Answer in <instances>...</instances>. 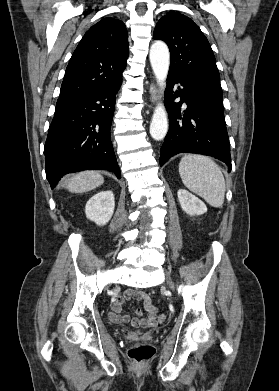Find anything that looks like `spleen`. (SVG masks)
I'll return each mask as SVG.
<instances>
[{"label":"spleen","mask_w":279,"mask_h":391,"mask_svg":"<svg viewBox=\"0 0 279 391\" xmlns=\"http://www.w3.org/2000/svg\"><path fill=\"white\" fill-rule=\"evenodd\" d=\"M179 174L184 185L212 207L223 205L225 179L213 160L198 154L185 155L179 163Z\"/></svg>","instance_id":"spleen-1"}]
</instances>
